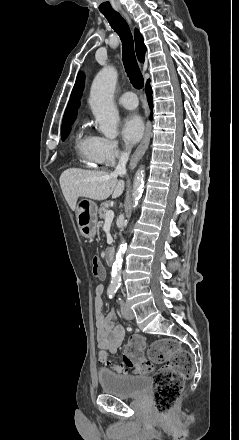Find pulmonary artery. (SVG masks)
Returning a JSON list of instances; mask_svg holds the SVG:
<instances>
[{
  "label": "pulmonary artery",
  "mask_w": 239,
  "mask_h": 440,
  "mask_svg": "<svg viewBox=\"0 0 239 440\" xmlns=\"http://www.w3.org/2000/svg\"><path fill=\"white\" fill-rule=\"evenodd\" d=\"M134 98L136 95L133 92H126L119 97L118 102L124 108L134 109L138 106V101L133 100Z\"/></svg>",
  "instance_id": "1"
}]
</instances>
